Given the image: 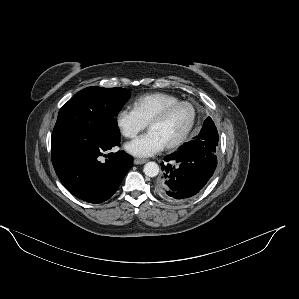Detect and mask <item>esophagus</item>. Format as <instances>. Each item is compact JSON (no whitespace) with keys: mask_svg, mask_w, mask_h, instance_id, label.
<instances>
[{"mask_svg":"<svg viewBox=\"0 0 299 299\" xmlns=\"http://www.w3.org/2000/svg\"><path fill=\"white\" fill-rule=\"evenodd\" d=\"M148 160L147 159H139V158H136L134 159V164L135 165H140V164H144L146 163Z\"/></svg>","mask_w":299,"mask_h":299,"instance_id":"1","label":"esophagus"}]
</instances>
